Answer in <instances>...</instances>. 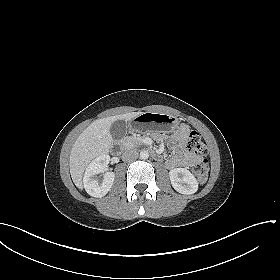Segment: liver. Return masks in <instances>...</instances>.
<instances>
[{
	"instance_id": "obj_1",
	"label": "liver",
	"mask_w": 280,
	"mask_h": 280,
	"mask_svg": "<svg viewBox=\"0 0 280 280\" xmlns=\"http://www.w3.org/2000/svg\"><path fill=\"white\" fill-rule=\"evenodd\" d=\"M140 114L142 112H130L95 120L79 135L69 157L71 177L77 188H83V173L88 164L96 157L109 152L113 142L111 125L117 120L130 121Z\"/></svg>"
}]
</instances>
